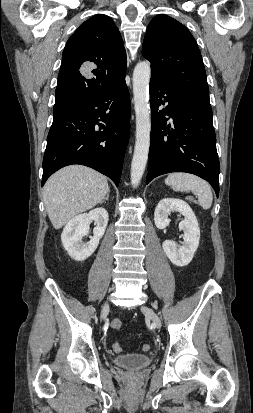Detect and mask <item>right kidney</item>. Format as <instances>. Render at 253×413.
<instances>
[{
    "mask_svg": "<svg viewBox=\"0 0 253 413\" xmlns=\"http://www.w3.org/2000/svg\"><path fill=\"white\" fill-rule=\"evenodd\" d=\"M95 221L93 237L88 243H83L82 238L89 232V226ZM108 224V212L104 208H96L89 213L80 214L71 219L61 234L62 245L69 256L76 261L89 258L98 247Z\"/></svg>",
    "mask_w": 253,
    "mask_h": 413,
    "instance_id": "right-kidney-1",
    "label": "right kidney"
}]
</instances>
